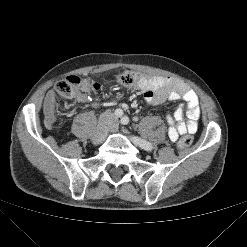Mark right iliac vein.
<instances>
[{"mask_svg": "<svg viewBox=\"0 0 247 247\" xmlns=\"http://www.w3.org/2000/svg\"><path fill=\"white\" fill-rule=\"evenodd\" d=\"M110 118L108 115L103 116L96 127L95 133L93 135V143H101L105 140L109 131Z\"/></svg>", "mask_w": 247, "mask_h": 247, "instance_id": "obj_1", "label": "right iliac vein"}]
</instances>
